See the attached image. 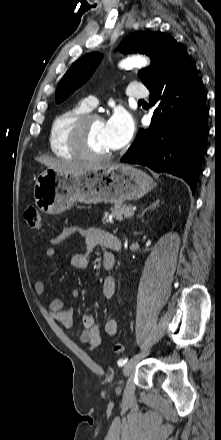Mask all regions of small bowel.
<instances>
[{
	"label": "small bowel",
	"mask_w": 221,
	"mask_h": 440,
	"mask_svg": "<svg viewBox=\"0 0 221 440\" xmlns=\"http://www.w3.org/2000/svg\"><path fill=\"white\" fill-rule=\"evenodd\" d=\"M75 232H79L84 240V251L75 253L71 257V265L78 269H84L88 266L89 253L99 247L103 250V263L108 258H113V255L106 249L110 248V243L115 239L113 235L97 228L81 229L77 227H69L64 229L58 236L53 237L50 243L53 245L59 244L67 239ZM55 255V249L50 247L45 251V259L42 263V272L44 275L49 273V259ZM115 279L112 276H108L102 283L101 295L105 300H109L115 293ZM35 292L39 295L45 293V284L43 281H37L34 284ZM73 297L79 296L78 290L72 291ZM49 312L51 316L59 322L66 329L71 330L73 328V316L74 309L71 306H67L60 299H53L48 304ZM82 324L84 330L81 332L79 339L82 343L87 344L90 348L94 349L102 344V335L99 328L95 324V318L92 314H85L82 317ZM105 333L108 336H113L117 332V321L115 318L110 317L104 326Z\"/></svg>",
	"instance_id": "1"
}]
</instances>
